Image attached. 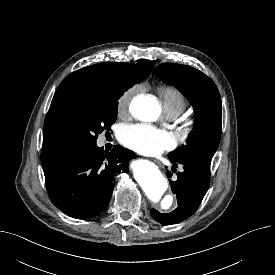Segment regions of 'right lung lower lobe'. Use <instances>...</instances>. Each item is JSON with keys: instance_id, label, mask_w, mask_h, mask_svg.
I'll use <instances>...</instances> for the list:
<instances>
[{"instance_id": "98d812e1", "label": "right lung lower lobe", "mask_w": 275, "mask_h": 275, "mask_svg": "<svg viewBox=\"0 0 275 275\" xmlns=\"http://www.w3.org/2000/svg\"><path fill=\"white\" fill-rule=\"evenodd\" d=\"M135 157L120 145L109 154L96 145L70 150L43 167L51 202L76 219L97 216L109 204L115 175L128 172L129 161Z\"/></svg>"}]
</instances>
